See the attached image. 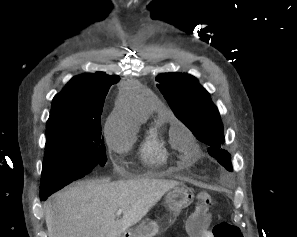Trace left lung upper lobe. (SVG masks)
<instances>
[{"label":"left lung upper lobe","instance_id":"obj_1","mask_svg":"<svg viewBox=\"0 0 297 237\" xmlns=\"http://www.w3.org/2000/svg\"><path fill=\"white\" fill-rule=\"evenodd\" d=\"M175 116L198 140L209 146L208 152L227 170H232L230 154L222 149L224 129L217 107L195 77L186 73H163L156 77Z\"/></svg>","mask_w":297,"mask_h":237}]
</instances>
